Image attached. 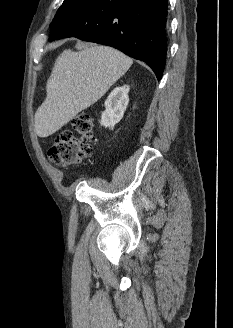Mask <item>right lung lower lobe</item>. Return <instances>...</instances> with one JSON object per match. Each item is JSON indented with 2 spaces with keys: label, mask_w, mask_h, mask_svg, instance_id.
I'll list each match as a JSON object with an SVG mask.
<instances>
[{
  "label": "right lung lower lobe",
  "mask_w": 233,
  "mask_h": 328,
  "mask_svg": "<svg viewBox=\"0 0 233 328\" xmlns=\"http://www.w3.org/2000/svg\"><path fill=\"white\" fill-rule=\"evenodd\" d=\"M168 0H94L51 26L50 41L77 37L146 62L158 80L166 62Z\"/></svg>",
  "instance_id": "right-lung-lower-lobe-1"
}]
</instances>
